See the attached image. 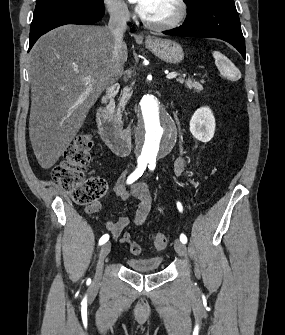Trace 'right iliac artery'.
Listing matches in <instances>:
<instances>
[{
	"label": "right iliac artery",
	"instance_id": "1",
	"mask_svg": "<svg viewBox=\"0 0 285 335\" xmlns=\"http://www.w3.org/2000/svg\"><path fill=\"white\" fill-rule=\"evenodd\" d=\"M147 163L148 162L146 161L138 162V166L136 170L128 177L127 184L133 183L135 180H137L139 177L142 176L144 170L146 169ZM108 240H109V235L108 234L103 235L99 240V245L106 243Z\"/></svg>",
	"mask_w": 285,
	"mask_h": 335
}]
</instances>
